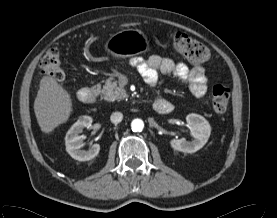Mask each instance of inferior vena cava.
Returning a JSON list of instances; mask_svg holds the SVG:
<instances>
[{
    "instance_id": "inferior-vena-cava-1",
    "label": "inferior vena cava",
    "mask_w": 277,
    "mask_h": 218,
    "mask_svg": "<svg viewBox=\"0 0 277 218\" xmlns=\"http://www.w3.org/2000/svg\"><path fill=\"white\" fill-rule=\"evenodd\" d=\"M123 114L121 112H113L110 116V120L114 124H118L122 121Z\"/></svg>"
}]
</instances>
